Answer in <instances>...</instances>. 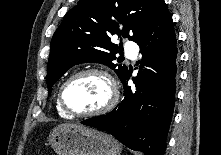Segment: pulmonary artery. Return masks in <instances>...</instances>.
Instances as JSON below:
<instances>
[{"mask_svg": "<svg viewBox=\"0 0 221 155\" xmlns=\"http://www.w3.org/2000/svg\"><path fill=\"white\" fill-rule=\"evenodd\" d=\"M125 53L129 58L135 59L138 53V47L133 42H128L125 45Z\"/></svg>", "mask_w": 221, "mask_h": 155, "instance_id": "obj_1", "label": "pulmonary artery"}]
</instances>
